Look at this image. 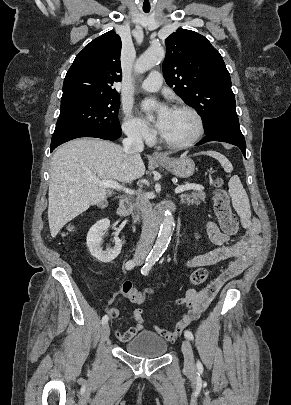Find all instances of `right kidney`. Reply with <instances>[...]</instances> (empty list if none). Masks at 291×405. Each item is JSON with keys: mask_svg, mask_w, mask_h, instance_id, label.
<instances>
[{"mask_svg": "<svg viewBox=\"0 0 291 405\" xmlns=\"http://www.w3.org/2000/svg\"><path fill=\"white\" fill-rule=\"evenodd\" d=\"M110 226L109 219H102L95 223L89 230L87 234V247L93 257L98 261L103 263H109L113 261L121 252L122 243L118 237H114L115 246L112 249H106L105 251L101 248V240L105 232Z\"/></svg>", "mask_w": 291, "mask_h": 405, "instance_id": "obj_1", "label": "right kidney"}]
</instances>
